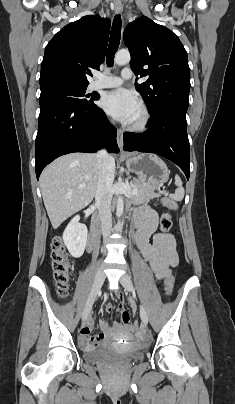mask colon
<instances>
[{
    "label": "colon",
    "instance_id": "1",
    "mask_svg": "<svg viewBox=\"0 0 235 404\" xmlns=\"http://www.w3.org/2000/svg\"><path fill=\"white\" fill-rule=\"evenodd\" d=\"M162 203L170 208L171 210L177 209V204L169 199L163 198ZM172 226L171 214L165 212L160 220V228L163 233L170 230ZM52 269L54 274V279L57 287L58 294L61 298H65L68 295L69 281H70V271L69 263L67 259L66 249L61 237H55L52 241ZM174 286V275L172 273L168 274L165 280V292L166 295H170ZM122 320L124 323L128 324L130 322V315L127 311L122 313ZM133 327L136 329L137 324Z\"/></svg>",
    "mask_w": 235,
    "mask_h": 404
}]
</instances>
